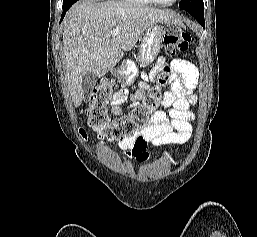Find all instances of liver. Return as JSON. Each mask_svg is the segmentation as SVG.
Listing matches in <instances>:
<instances>
[{"label": "liver", "mask_w": 257, "mask_h": 237, "mask_svg": "<svg viewBox=\"0 0 257 237\" xmlns=\"http://www.w3.org/2000/svg\"><path fill=\"white\" fill-rule=\"evenodd\" d=\"M168 10L116 1L82 0L66 14L63 54L75 107L83 100L82 79L88 72L103 77L130 51L153 23H178ZM113 29L119 34L111 35Z\"/></svg>", "instance_id": "liver-1"}]
</instances>
